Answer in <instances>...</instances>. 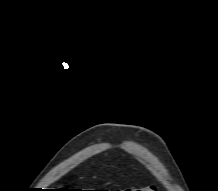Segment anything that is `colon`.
I'll return each instance as SVG.
<instances>
[{
	"label": "colon",
	"instance_id": "1",
	"mask_svg": "<svg viewBox=\"0 0 218 191\" xmlns=\"http://www.w3.org/2000/svg\"><path fill=\"white\" fill-rule=\"evenodd\" d=\"M70 191H73V190H70ZM118 191H157V189L154 186H147V187H143V188L118 190Z\"/></svg>",
	"mask_w": 218,
	"mask_h": 191
}]
</instances>
